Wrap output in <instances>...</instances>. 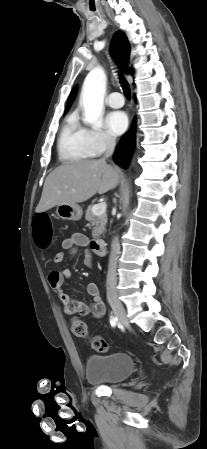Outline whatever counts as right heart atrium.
I'll use <instances>...</instances> for the list:
<instances>
[{"instance_id":"obj_1","label":"right heart atrium","mask_w":207,"mask_h":449,"mask_svg":"<svg viewBox=\"0 0 207 449\" xmlns=\"http://www.w3.org/2000/svg\"><path fill=\"white\" fill-rule=\"evenodd\" d=\"M85 130L88 144L94 155H101L114 147L115 138L106 131L99 128Z\"/></svg>"}]
</instances>
